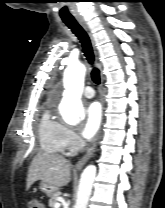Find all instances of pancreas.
Wrapping results in <instances>:
<instances>
[{
	"mask_svg": "<svg viewBox=\"0 0 165 208\" xmlns=\"http://www.w3.org/2000/svg\"><path fill=\"white\" fill-rule=\"evenodd\" d=\"M61 196V192L56 191L50 198L49 200V207L50 208H55V204L58 201V197Z\"/></svg>",
	"mask_w": 165,
	"mask_h": 208,
	"instance_id": "obj_1",
	"label": "pancreas"
}]
</instances>
